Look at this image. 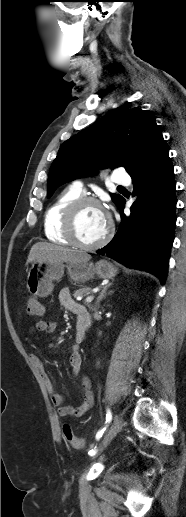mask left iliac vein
Listing matches in <instances>:
<instances>
[{"label":"left iliac vein","mask_w":186,"mask_h":517,"mask_svg":"<svg viewBox=\"0 0 186 517\" xmlns=\"http://www.w3.org/2000/svg\"><path fill=\"white\" fill-rule=\"evenodd\" d=\"M123 427V420L120 416H116L114 422L108 432L104 435L101 444L99 446L98 452L96 455H93L95 458L99 453H101L111 442V440L121 431Z\"/></svg>","instance_id":"1"}]
</instances>
